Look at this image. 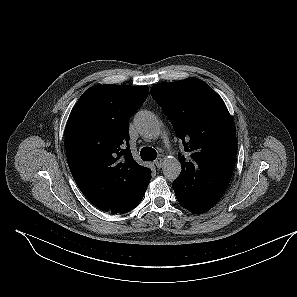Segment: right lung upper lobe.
I'll return each instance as SVG.
<instances>
[{
    "label": "right lung upper lobe",
    "mask_w": 297,
    "mask_h": 297,
    "mask_svg": "<svg viewBox=\"0 0 297 297\" xmlns=\"http://www.w3.org/2000/svg\"><path fill=\"white\" fill-rule=\"evenodd\" d=\"M147 86L95 85L73 107L65 144L72 176L96 207L121 213L148 185L151 170L129 148V119L148 96Z\"/></svg>",
    "instance_id": "cb5924a9"
}]
</instances>
